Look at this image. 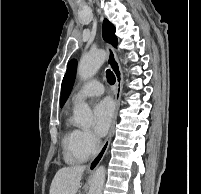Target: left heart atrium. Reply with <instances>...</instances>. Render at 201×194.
<instances>
[{"mask_svg": "<svg viewBox=\"0 0 201 194\" xmlns=\"http://www.w3.org/2000/svg\"><path fill=\"white\" fill-rule=\"evenodd\" d=\"M94 131L97 135L103 136L109 130L114 116V105L110 99L99 101L93 110Z\"/></svg>", "mask_w": 201, "mask_h": 194, "instance_id": "1", "label": "left heart atrium"}]
</instances>
